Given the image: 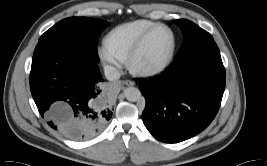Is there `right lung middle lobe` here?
<instances>
[{"mask_svg": "<svg viewBox=\"0 0 267 166\" xmlns=\"http://www.w3.org/2000/svg\"><path fill=\"white\" fill-rule=\"evenodd\" d=\"M108 22L89 17H70L56 23L39 39L55 40L72 46L99 62L97 40Z\"/></svg>", "mask_w": 267, "mask_h": 166, "instance_id": "1", "label": "right lung middle lobe"}]
</instances>
